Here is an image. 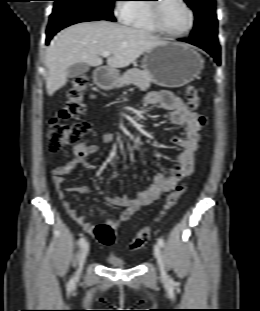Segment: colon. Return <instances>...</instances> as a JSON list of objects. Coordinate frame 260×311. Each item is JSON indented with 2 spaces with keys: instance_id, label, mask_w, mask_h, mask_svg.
Wrapping results in <instances>:
<instances>
[{
  "instance_id": "colon-1",
  "label": "colon",
  "mask_w": 260,
  "mask_h": 311,
  "mask_svg": "<svg viewBox=\"0 0 260 311\" xmlns=\"http://www.w3.org/2000/svg\"><path fill=\"white\" fill-rule=\"evenodd\" d=\"M87 78L84 76L76 77L67 91V99L59 114L52 118L48 128V151L57 153L63 147L69 145H80L91 130L88 121L68 122L70 120H80L85 113L83 102L84 93L87 88ZM188 101V108L194 111L198 107L199 97L194 86H188L185 90ZM200 128L206 125V118L198 116ZM186 184H180L169 193L164 200L162 217L167 210L177 204L182 195L186 192ZM94 236L103 245H112L115 241V229L108 222L100 223L94 228ZM150 227H143L130 243V249L138 250L143 248L150 240Z\"/></svg>"
}]
</instances>
